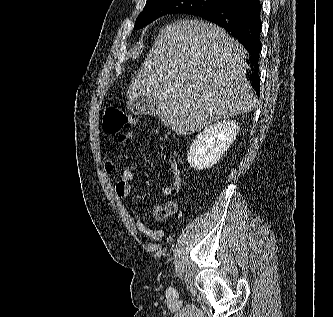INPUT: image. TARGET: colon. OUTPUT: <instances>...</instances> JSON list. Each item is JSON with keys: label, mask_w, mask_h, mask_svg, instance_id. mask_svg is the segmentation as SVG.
<instances>
[{"label": "colon", "mask_w": 333, "mask_h": 317, "mask_svg": "<svg viewBox=\"0 0 333 317\" xmlns=\"http://www.w3.org/2000/svg\"><path fill=\"white\" fill-rule=\"evenodd\" d=\"M134 124V118L122 109L109 106L102 115V128L109 135H118Z\"/></svg>", "instance_id": "1"}]
</instances>
